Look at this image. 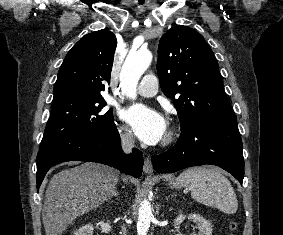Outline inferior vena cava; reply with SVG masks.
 <instances>
[{
  "label": "inferior vena cava",
  "mask_w": 283,
  "mask_h": 235,
  "mask_svg": "<svg viewBox=\"0 0 283 235\" xmlns=\"http://www.w3.org/2000/svg\"><path fill=\"white\" fill-rule=\"evenodd\" d=\"M121 144L125 153H130L132 151L134 146V136L130 131L121 134ZM121 233L126 235V227L124 225L121 227Z\"/></svg>",
  "instance_id": "602c4592"
}]
</instances>
